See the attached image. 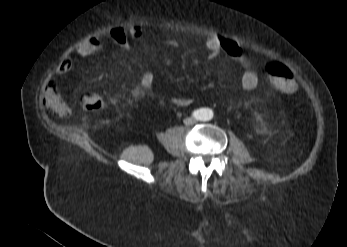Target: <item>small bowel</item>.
Returning <instances> with one entry per match:
<instances>
[{
  "mask_svg": "<svg viewBox=\"0 0 347 247\" xmlns=\"http://www.w3.org/2000/svg\"><path fill=\"white\" fill-rule=\"evenodd\" d=\"M145 34L144 28L140 25H132L127 30L122 27H114L107 31L105 35L114 44L127 49L131 43L139 42ZM170 47L178 45L176 39L166 41ZM205 47L208 51L210 59L214 60L222 55L228 56L234 62L245 67V72L240 77V85L243 90L251 91L258 85V76L252 70L251 60L244 53L241 46L234 40L221 36H212L206 39ZM105 48V40L103 37H93L88 41L82 42L76 46L75 52L81 57H87L95 53L101 52ZM70 60H65L58 68V75L67 74L71 70ZM156 76L151 73H145L138 86L133 88L137 92H151L156 87ZM172 102L177 107H187L192 104L191 97H175ZM45 103L49 111L57 117H67L70 109L58 97L57 89L53 83H50L45 90Z\"/></svg>",
  "mask_w": 347,
  "mask_h": 247,
  "instance_id": "obj_1",
  "label": "small bowel"
}]
</instances>
